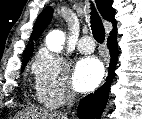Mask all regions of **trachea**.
<instances>
[{"label": "trachea", "mask_w": 142, "mask_h": 119, "mask_svg": "<svg viewBox=\"0 0 142 119\" xmlns=\"http://www.w3.org/2000/svg\"><path fill=\"white\" fill-rule=\"evenodd\" d=\"M90 19H91L90 23H91V29H92L94 39L98 43H103L105 39V29H104L102 20L99 14L97 13L96 9L94 8V6L91 11Z\"/></svg>", "instance_id": "3493384b"}]
</instances>
